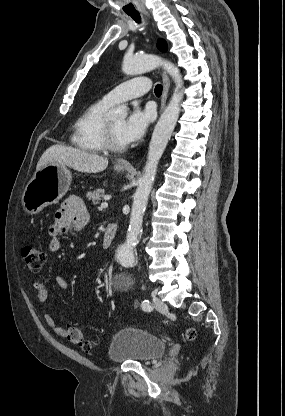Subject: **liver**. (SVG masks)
<instances>
[{
    "label": "liver",
    "instance_id": "liver-1",
    "mask_svg": "<svg viewBox=\"0 0 285 416\" xmlns=\"http://www.w3.org/2000/svg\"><path fill=\"white\" fill-rule=\"evenodd\" d=\"M47 164H64L77 172H86V174H98L103 172L108 166V158H102L97 154H89L85 150L77 148H68V146H51L42 154L37 166L36 172H39Z\"/></svg>",
    "mask_w": 285,
    "mask_h": 416
}]
</instances>
